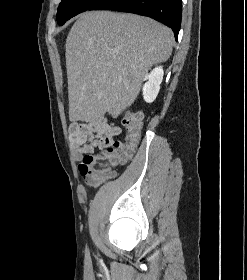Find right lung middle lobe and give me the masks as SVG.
<instances>
[{"label": "right lung middle lobe", "instance_id": "right-lung-middle-lobe-1", "mask_svg": "<svg viewBox=\"0 0 247 280\" xmlns=\"http://www.w3.org/2000/svg\"><path fill=\"white\" fill-rule=\"evenodd\" d=\"M99 0H62L57 12V22L60 26L77 14L90 9Z\"/></svg>", "mask_w": 247, "mask_h": 280}]
</instances>
